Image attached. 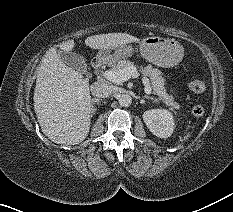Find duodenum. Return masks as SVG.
Returning <instances> with one entry per match:
<instances>
[{"label": "duodenum", "instance_id": "1", "mask_svg": "<svg viewBox=\"0 0 233 212\" xmlns=\"http://www.w3.org/2000/svg\"><path fill=\"white\" fill-rule=\"evenodd\" d=\"M91 65L94 69H98L102 65V60L100 58H95L92 60Z\"/></svg>", "mask_w": 233, "mask_h": 212}]
</instances>
